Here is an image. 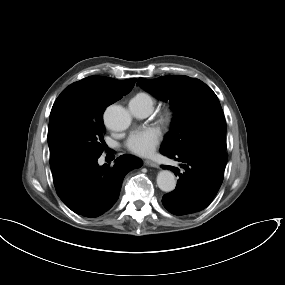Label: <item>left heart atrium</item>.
I'll use <instances>...</instances> for the list:
<instances>
[{"instance_id":"1","label":"left heart atrium","mask_w":285,"mask_h":285,"mask_svg":"<svg viewBox=\"0 0 285 285\" xmlns=\"http://www.w3.org/2000/svg\"><path fill=\"white\" fill-rule=\"evenodd\" d=\"M162 139L158 127H145L133 130L126 139V148L137 156L151 155Z\"/></svg>"}]
</instances>
